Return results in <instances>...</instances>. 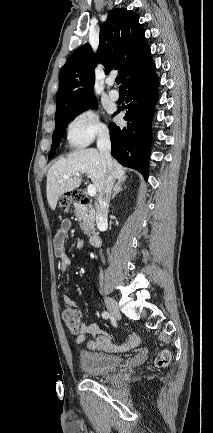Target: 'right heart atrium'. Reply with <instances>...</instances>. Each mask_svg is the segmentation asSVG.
Here are the masks:
<instances>
[{
	"mask_svg": "<svg viewBox=\"0 0 213 433\" xmlns=\"http://www.w3.org/2000/svg\"><path fill=\"white\" fill-rule=\"evenodd\" d=\"M108 135L106 126L101 123L97 112L86 109L76 115L67 126V138L73 147H83L95 138Z\"/></svg>",
	"mask_w": 213,
	"mask_h": 433,
	"instance_id": "1",
	"label": "right heart atrium"
}]
</instances>
